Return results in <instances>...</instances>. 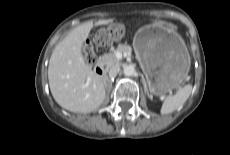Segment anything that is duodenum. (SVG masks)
Segmentation results:
<instances>
[{
    "mask_svg": "<svg viewBox=\"0 0 230 155\" xmlns=\"http://www.w3.org/2000/svg\"><path fill=\"white\" fill-rule=\"evenodd\" d=\"M95 73H96L98 76H100V77H104V75H105V68H104L103 64L97 63V64L95 65Z\"/></svg>",
    "mask_w": 230,
    "mask_h": 155,
    "instance_id": "obj_1",
    "label": "duodenum"
}]
</instances>
